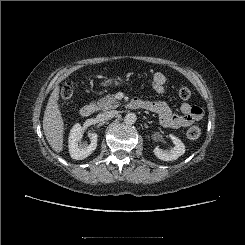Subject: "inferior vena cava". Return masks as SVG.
<instances>
[{
    "label": "inferior vena cava",
    "instance_id": "inferior-vena-cava-1",
    "mask_svg": "<svg viewBox=\"0 0 245 245\" xmlns=\"http://www.w3.org/2000/svg\"><path fill=\"white\" fill-rule=\"evenodd\" d=\"M117 112L116 111H106L103 113H100L97 118L99 121H108L111 118H113L114 116H116Z\"/></svg>",
    "mask_w": 245,
    "mask_h": 245
}]
</instances>
